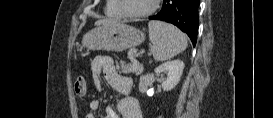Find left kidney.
I'll list each match as a JSON object with an SVG mask.
<instances>
[{
    "label": "left kidney",
    "mask_w": 273,
    "mask_h": 118,
    "mask_svg": "<svg viewBox=\"0 0 273 118\" xmlns=\"http://www.w3.org/2000/svg\"><path fill=\"white\" fill-rule=\"evenodd\" d=\"M184 63L181 60H172L159 65L155 69L157 76L167 74V78L163 79L162 88L164 91H170L179 83L183 73Z\"/></svg>",
    "instance_id": "5707ae66"
}]
</instances>
